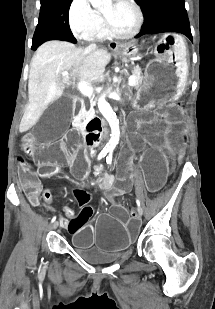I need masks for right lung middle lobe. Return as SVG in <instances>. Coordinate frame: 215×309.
I'll use <instances>...</instances> for the list:
<instances>
[{"label":"right lung middle lobe","mask_w":215,"mask_h":309,"mask_svg":"<svg viewBox=\"0 0 215 309\" xmlns=\"http://www.w3.org/2000/svg\"><path fill=\"white\" fill-rule=\"evenodd\" d=\"M72 0H41L39 22L32 41V49L47 40L58 39L76 43L68 22Z\"/></svg>","instance_id":"obj_1"}]
</instances>
